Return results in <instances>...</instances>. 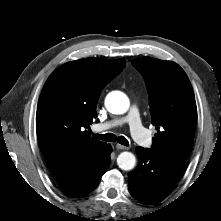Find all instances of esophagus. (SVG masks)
<instances>
[{"label":"esophagus","instance_id":"obj_1","mask_svg":"<svg viewBox=\"0 0 221 221\" xmlns=\"http://www.w3.org/2000/svg\"><path fill=\"white\" fill-rule=\"evenodd\" d=\"M116 148L119 150H128L129 149V147L121 145V144H116Z\"/></svg>","mask_w":221,"mask_h":221}]
</instances>
